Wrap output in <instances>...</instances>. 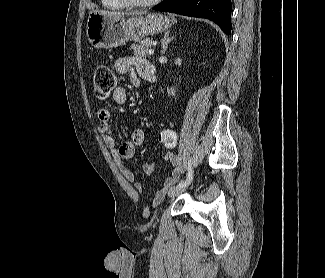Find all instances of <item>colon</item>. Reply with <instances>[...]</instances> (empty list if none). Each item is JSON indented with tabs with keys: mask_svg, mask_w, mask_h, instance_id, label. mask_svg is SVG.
<instances>
[{
	"mask_svg": "<svg viewBox=\"0 0 325 278\" xmlns=\"http://www.w3.org/2000/svg\"><path fill=\"white\" fill-rule=\"evenodd\" d=\"M116 88V77L109 66L99 65L95 69L93 77V90L96 97L100 100L107 99ZM158 140L166 149H173L176 146V138L172 130L167 134L159 133Z\"/></svg>",
	"mask_w": 325,
	"mask_h": 278,
	"instance_id": "5ec220e1",
	"label": "colon"
}]
</instances>
